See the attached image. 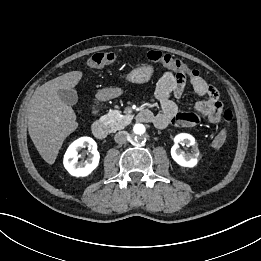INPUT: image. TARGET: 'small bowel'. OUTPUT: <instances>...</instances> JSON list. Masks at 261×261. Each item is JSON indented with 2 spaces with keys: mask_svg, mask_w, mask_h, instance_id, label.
Wrapping results in <instances>:
<instances>
[{
  "mask_svg": "<svg viewBox=\"0 0 261 261\" xmlns=\"http://www.w3.org/2000/svg\"><path fill=\"white\" fill-rule=\"evenodd\" d=\"M190 84L203 99L194 105L195 112H181L171 97L180 98L185 90L186 78L183 74L165 72L160 78L155 95L161 105V111L153 116V123L159 129L169 124L185 127L196 125L201 120L216 124L221 120L222 103L218 91L200 75L190 78Z\"/></svg>",
  "mask_w": 261,
  "mask_h": 261,
  "instance_id": "1",
  "label": "small bowel"
}]
</instances>
